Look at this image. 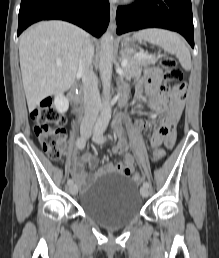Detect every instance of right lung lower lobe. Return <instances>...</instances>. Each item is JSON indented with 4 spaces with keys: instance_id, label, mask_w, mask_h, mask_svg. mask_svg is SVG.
Listing matches in <instances>:
<instances>
[{
    "instance_id": "98d812e1",
    "label": "right lung lower lobe",
    "mask_w": 219,
    "mask_h": 258,
    "mask_svg": "<svg viewBox=\"0 0 219 258\" xmlns=\"http://www.w3.org/2000/svg\"><path fill=\"white\" fill-rule=\"evenodd\" d=\"M109 12L107 0H22L17 35L40 20L60 19L100 37L108 26Z\"/></svg>"
}]
</instances>
